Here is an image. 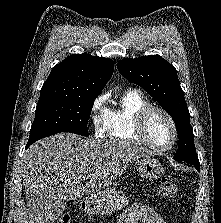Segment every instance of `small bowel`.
<instances>
[{"label": "small bowel", "mask_w": 221, "mask_h": 223, "mask_svg": "<svg viewBox=\"0 0 221 223\" xmlns=\"http://www.w3.org/2000/svg\"><path fill=\"white\" fill-rule=\"evenodd\" d=\"M118 223H166L152 207L135 204L128 207L119 217Z\"/></svg>", "instance_id": "small-bowel-1"}]
</instances>
